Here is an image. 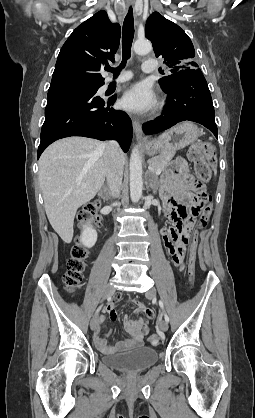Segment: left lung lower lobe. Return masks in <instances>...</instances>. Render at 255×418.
Masks as SVG:
<instances>
[{"mask_svg": "<svg viewBox=\"0 0 255 418\" xmlns=\"http://www.w3.org/2000/svg\"><path fill=\"white\" fill-rule=\"evenodd\" d=\"M211 94L201 71L179 78L167 92V106L164 115L143 125L147 135L164 131L175 124L189 120L200 123L218 135L214 120Z\"/></svg>", "mask_w": 255, "mask_h": 418, "instance_id": "obj_1", "label": "left lung lower lobe"}]
</instances>
